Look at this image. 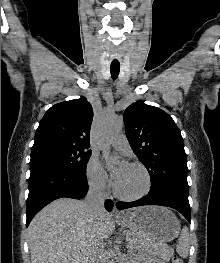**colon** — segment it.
Listing matches in <instances>:
<instances>
[{"label":"colon","instance_id":"1","mask_svg":"<svg viewBox=\"0 0 220 263\" xmlns=\"http://www.w3.org/2000/svg\"><path fill=\"white\" fill-rule=\"evenodd\" d=\"M171 263H184L183 260L178 256H173L171 259Z\"/></svg>","mask_w":220,"mask_h":263}]
</instances>
